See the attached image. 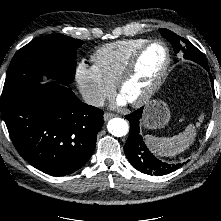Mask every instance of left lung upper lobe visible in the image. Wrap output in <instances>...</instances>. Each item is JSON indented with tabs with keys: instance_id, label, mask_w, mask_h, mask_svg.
<instances>
[{
	"instance_id": "obj_1",
	"label": "left lung upper lobe",
	"mask_w": 221,
	"mask_h": 221,
	"mask_svg": "<svg viewBox=\"0 0 221 221\" xmlns=\"http://www.w3.org/2000/svg\"><path fill=\"white\" fill-rule=\"evenodd\" d=\"M159 31L163 37L172 43L175 52L182 51L185 59H190L208 69L206 58L193 44L168 29H159Z\"/></svg>"
}]
</instances>
